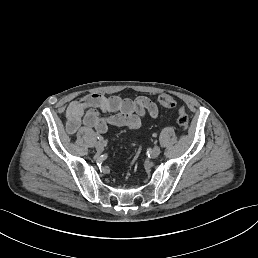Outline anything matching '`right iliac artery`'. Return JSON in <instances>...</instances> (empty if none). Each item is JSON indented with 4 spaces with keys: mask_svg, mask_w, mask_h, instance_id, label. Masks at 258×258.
Here are the masks:
<instances>
[{
    "mask_svg": "<svg viewBox=\"0 0 258 258\" xmlns=\"http://www.w3.org/2000/svg\"><path fill=\"white\" fill-rule=\"evenodd\" d=\"M97 139L99 140V141H103V137L102 136H97Z\"/></svg>",
    "mask_w": 258,
    "mask_h": 258,
    "instance_id": "obj_1",
    "label": "right iliac artery"
}]
</instances>
